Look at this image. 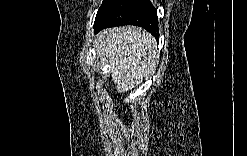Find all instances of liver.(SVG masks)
<instances>
[{
    "instance_id": "1",
    "label": "liver",
    "mask_w": 247,
    "mask_h": 156,
    "mask_svg": "<svg viewBox=\"0 0 247 156\" xmlns=\"http://www.w3.org/2000/svg\"><path fill=\"white\" fill-rule=\"evenodd\" d=\"M94 47L98 56L106 57L118 93L137 86L158 63L156 40L140 27L105 29L96 36Z\"/></svg>"
}]
</instances>
